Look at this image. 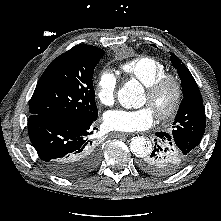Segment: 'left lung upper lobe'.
I'll return each mask as SVG.
<instances>
[{"label":"left lung upper lobe","instance_id":"obj_1","mask_svg":"<svg viewBox=\"0 0 221 221\" xmlns=\"http://www.w3.org/2000/svg\"><path fill=\"white\" fill-rule=\"evenodd\" d=\"M171 62L181 79L183 99L170 133L189 156H193L206 127L205 109L196 81L189 69L172 52Z\"/></svg>","mask_w":221,"mask_h":221}]
</instances>
